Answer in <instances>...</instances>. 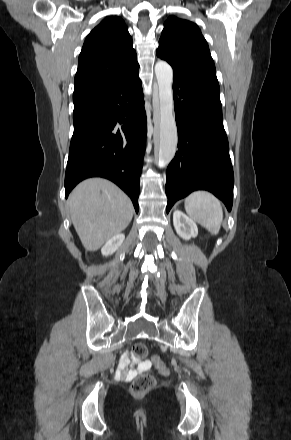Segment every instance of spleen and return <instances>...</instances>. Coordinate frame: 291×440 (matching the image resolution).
Instances as JSON below:
<instances>
[{"label": "spleen", "mask_w": 291, "mask_h": 440, "mask_svg": "<svg viewBox=\"0 0 291 440\" xmlns=\"http://www.w3.org/2000/svg\"><path fill=\"white\" fill-rule=\"evenodd\" d=\"M187 214L212 235L219 233L223 210L220 201L207 191H195L185 199Z\"/></svg>", "instance_id": "spleen-1"}]
</instances>
